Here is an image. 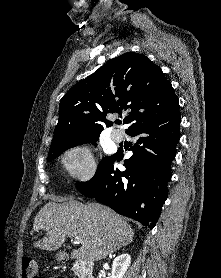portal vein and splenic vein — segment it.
<instances>
[{"label":"portal vein and splenic vein","mask_w":221,"mask_h":278,"mask_svg":"<svg viewBox=\"0 0 221 278\" xmlns=\"http://www.w3.org/2000/svg\"><path fill=\"white\" fill-rule=\"evenodd\" d=\"M75 240L77 241V243L82 244L84 242L83 239H81L80 237H75Z\"/></svg>","instance_id":"1"}]
</instances>
